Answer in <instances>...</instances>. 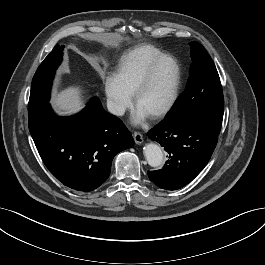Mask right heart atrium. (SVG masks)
Instances as JSON below:
<instances>
[{"instance_id":"right-heart-atrium-1","label":"right heart atrium","mask_w":265,"mask_h":265,"mask_svg":"<svg viewBox=\"0 0 265 265\" xmlns=\"http://www.w3.org/2000/svg\"><path fill=\"white\" fill-rule=\"evenodd\" d=\"M104 91L109 108L114 115L121 116L131 105V97L118 86L113 76L106 77Z\"/></svg>"}]
</instances>
